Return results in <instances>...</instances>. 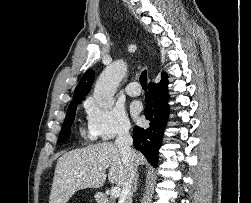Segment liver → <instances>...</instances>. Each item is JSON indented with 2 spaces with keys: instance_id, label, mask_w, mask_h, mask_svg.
<instances>
[{
  "instance_id": "obj_1",
  "label": "liver",
  "mask_w": 251,
  "mask_h": 203,
  "mask_svg": "<svg viewBox=\"0 0 251 203\" xmlns=\"http://www.w3.org/2000/svg\"><path fill=\"white\" fill-rule=\"evenodd\" d=\"M136 166L143 165L144 156L135 152ZM111 184L122 187L126 167L117 146L103 142L75 149L62 155L56 164L49 203H67L78 190L100 188L106 180V169Z\"/></svg>"
}]
</instances>
